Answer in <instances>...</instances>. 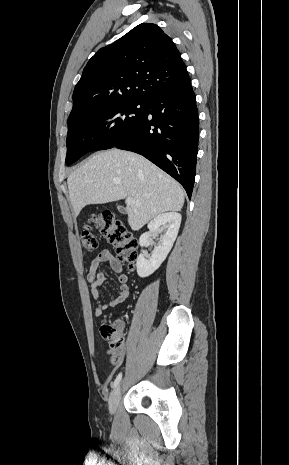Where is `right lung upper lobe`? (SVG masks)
<instances>
[{
	"mask_svg": "<svg viewBox=\"0 0 289 465\" xmlns=\"http://www.w3.org/2000/svg\"><path fill=\"white\" fill-rule=\"evenodd\" d=\"M191 82L180 52L155 24L142 23L89 60L73 92L68 129L88 105L145 100Z\"/></svg>",
	"mask_w": 289,
	"mask_h": 465,
	"instance_id": "obj_1",
	"label": "right lung upper lobe"
}]
</instances>
